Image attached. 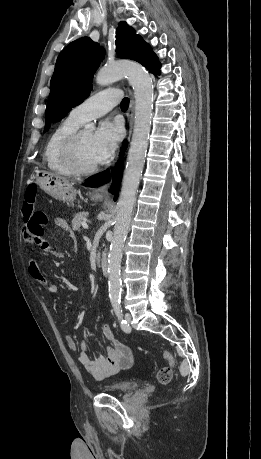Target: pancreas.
<instances>
[{
    "label": "pancreas",
    "mask_w": 261,
    "mask_h": 459,
    "mask_svg": "<svg viewBox=\"0 0 261 459\" xmlns=\"http://www.w3.org/2000/svg\"><path fill=\"white\" fill-rule=\"evenodd\" d=\"M87 216H88V212H84V211L76 214L74 219L72 220V229L74 231L80 230L81 224L83 221L86 220Z\"/></svg>",
    "instance_id": "cf45deb5"
}]
</instances>
